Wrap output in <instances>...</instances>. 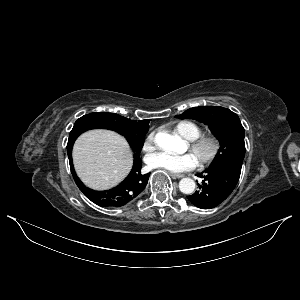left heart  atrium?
<instances>
[{
  "label": "left heart atrium",
  "mask_w": 300,
  "mask_h": 300,
  "mask_svg": "<svg viewBox=\"0 0 300 300\" xmlns=\"http://www.w3.org/2000/svg\"><path fill=\"white\" fill-rule=\"evenodd\" d=\"M198 160L193 153L175 155L168 152H158L147 158L150 168L163 169L173 173L192 170L196 167Z\"/></svg>",
  "instance_id": "1"
}]
</instances>
